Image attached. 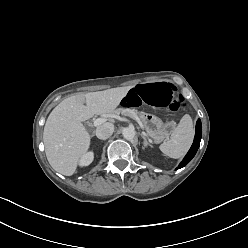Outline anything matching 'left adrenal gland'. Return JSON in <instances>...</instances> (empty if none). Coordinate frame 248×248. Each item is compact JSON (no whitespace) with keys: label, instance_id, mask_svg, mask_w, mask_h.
I'll use <instances>...</instances> for the list:
<instances>
[{"label":"left adrenal gland","instance_id":"a2214340","mask_svg":"<svg viewBox=\"0 0 248 248\" xmlns=\"http://www.w3.org/2000/svg\"><path fill=\"white\" fill-rule=\"evenodd\" d=\"M141 136H142V138H143V140H144V146H145V147H146V146L152 147V145H151L150 143H148V141L146 140L145 136H144L143 134H141Z\"/></svg>","mask_w":248,"mask_h":248}]
</instances>
